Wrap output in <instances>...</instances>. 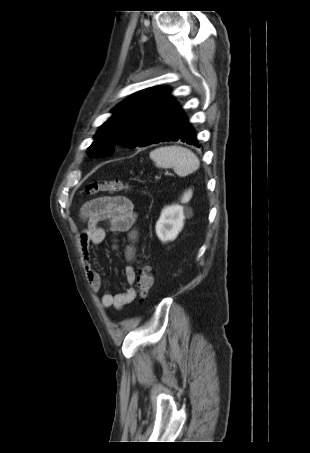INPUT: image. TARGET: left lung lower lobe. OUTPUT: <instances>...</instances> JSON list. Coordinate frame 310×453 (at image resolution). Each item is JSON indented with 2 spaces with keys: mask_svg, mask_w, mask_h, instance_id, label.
<instances>
[{
  "mask_svg": "<svg viewBox=\"0 0 310 453\" xmlns=\"http://www.w3.org/2000/svg\"><path fill=\"white\" fill-rule=\"evenodd\" d=\"M164 141H182L200 147L195 130L188 122V118L181 107H178L167 132L159 142Z\"/></svg>",
  "mask_w": 310,
  "mask_h": 453,
  "instance_id": "0a47b994",
  "label": "left lung lower lobe"
}]
</instances>
